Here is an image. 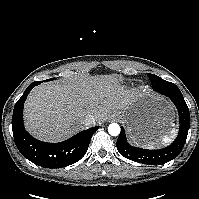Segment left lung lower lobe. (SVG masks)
I'll return each instance as SVG.
<instances>
[{
	"label": "left lung lower lobe",
	"instance_id": "1",
	"mask_svg": "<svg viewBox=\"0 0 199 199\" xmlns=\"http://www.w3.org/2000/svg\"><path fill=\"white\" fill-rule=\"evenodd\" d=\"M155 91L168 96L178 109L180 131L176 140L168 147L160 150L136 148L127 142L123 127H121V132L117 140V149L123 157L149 165L164 164L174 159L181 152L186 142L190 126L189 109L178 87L173 84L168 87L155 89Z\"/></svg>",
	"mask_w": 199,
	"mask_h": 199
}]
</instances>
